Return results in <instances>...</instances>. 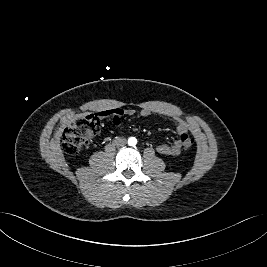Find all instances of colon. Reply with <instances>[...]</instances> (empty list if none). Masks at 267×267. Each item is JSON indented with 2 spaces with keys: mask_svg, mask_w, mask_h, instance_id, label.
<instances>
[{
  "mask_svg": "<svg viewBox=\"0 0 267 267\" xmlns=\"http://www.w3.org/2000/svg\"><path fill=\"white\" fill-rule=\"evenodd\" d=\"M103 116L99 113L82 116L67 126L63 133L62 147L68 154H76L85 148L98 134ZM182 147L188 151L194 139L187 134L180 136Z\"/></svg>",
  "mask_w": 267,
  "mask_h": 267,
  "instance_id": "colon-1",
  "label": "colon"
}]
</instances>
